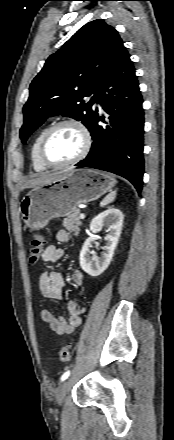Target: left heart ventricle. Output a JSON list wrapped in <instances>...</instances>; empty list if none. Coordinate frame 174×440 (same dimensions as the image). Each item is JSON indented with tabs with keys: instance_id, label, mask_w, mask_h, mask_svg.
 <instances>
[{
	"instance_id": "b2bd125f",
	"label": "left heart ventricle",
	"mask_w": 174,
	"mask_h": 440,
	"mask_svg": "<svg viewBox=\"0 0 174 440\" xmlns=\"http://www.w3.org/2000/svg\"><path fill=\"white\" fill-rule=\"evenodd\" d=\"M82 143V135L76 127L61 126L51 134L47 142L46 157L55 164L67 162L80 152Z\"/></svg>"
}]
</instances>
